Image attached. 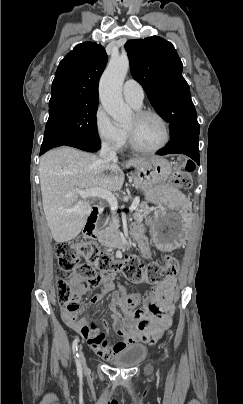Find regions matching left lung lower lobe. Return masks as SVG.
Masks as SVG:
<instances>
[{
  "label": "left lung lower lobe",
  "instance_id": "1",
  "mask_svg": "<svg viewBox=\"0 0 243 404\" xmlns=\"http://www.w3.org/2000/svg\"><path fill=\"white\" fill-rule=\"evenodd\" d=\"M199 133H180L171 138L165 148L159 150L157 154H184L192 158L199 165Z\"/></svg>",
  "mask_w": 243,
  "mask_h": 404
}]
</instances>
